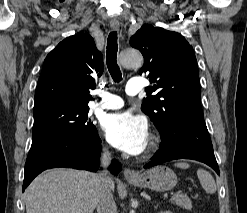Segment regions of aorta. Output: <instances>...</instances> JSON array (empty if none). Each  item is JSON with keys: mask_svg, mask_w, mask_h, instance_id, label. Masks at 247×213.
<instances>
[{"mask_svg": "<svg viewBox=\"0 0 247 213\" xmlns=\"http://www.w3.org/2000/svg\"><path fill=\"white\" fill-rule=\"evenodd\" d=\"M120 61L126 68L141 67L143 64V57L139 51L135 49H126L121 52Z\"/></svg>", "mask_w": 247, "mask_h": 213, "instance_id": "762f6f07", "label": "aorta"}]
</instances>
